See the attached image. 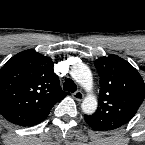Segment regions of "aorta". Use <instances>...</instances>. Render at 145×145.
Here are the masks:
<instances>
[{
	"mask_svg": "<svg viewBox=\"0 0 145 145\" xmlns=\"http://www.w3.org/2000/svg\"><path fill=\"white\" fill-rule=\"evenodd\" d=\"M71 76L85 89L90 90L92 87L93 79L89 67L83 63L74 65L71 69ZM84 113L92 114L97 109V100L94 96L88 95L85 97L81 104Z\"/></svg>",
	"mask_w": 145,
	"mask_h": 145,
	"instance_id": "1",
	"label": "aorta"
}]
</instances>
